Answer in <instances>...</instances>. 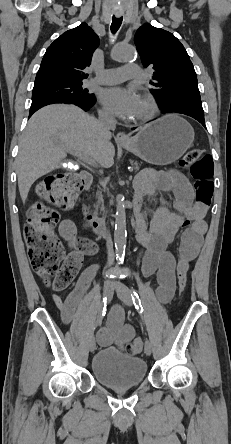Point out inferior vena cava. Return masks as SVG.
<instances>
[{
    "label": "inferior vena cava",
    "instance_id": "602c4592",
    "mask_svg": "<svg viewBox=\"0 0 231 444\" xmlns=\"http://www.w3.org/2000/svg\"><path fill=\"white\" fill-rule=\"evenodd\" d=\"M99 123L104 131L115 130V128H116L115 118L106 112L99 113ZM104 218L106 219V221L108 223L111 221L107 215ZM107 230L110 232L112 229L109 227ZM108 231L105 233L107 236L110 234ZM107 248H108V253H109V259H112L113 252H112V244H111L110 240L107 241Z\"/></svg>",
    "mask_w": 231,
    "mask_h": 444
}]
</instances>
